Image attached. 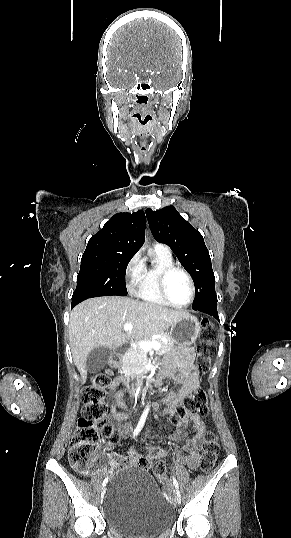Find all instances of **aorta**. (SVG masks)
I'll return each mask as SVG.
<instances>
[{"label": "aorta", "mask_w": 291, "mask_h": 538, "mask_svg": "<svg viewBox=\"0 0 291 538\" xmlns=\"http://www.w3.org/2000/svg\"><path fill=\"white\" fill-rule=\"evenodd\" d=\"M149 410H150V407H149V405H147L146 408H145V413H148Z\"/></svg>", "instance_id": "obj_1"}]
</instances>
